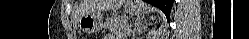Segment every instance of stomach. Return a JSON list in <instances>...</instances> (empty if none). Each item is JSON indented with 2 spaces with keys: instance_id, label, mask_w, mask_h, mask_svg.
<instances>
[{
  "instance_id": "0dacf381",
  "label": "stomach",
  "mask_w": 249,
  "mask_h": 39,
  "mask_svg": "<svg viewBox=\"0 0 249 39\" xmlns=\"http://www.w3.org/2000/svg\"><path fill=\"white\" fill-rule=\"evenodd\" d=\"M125 7L130 14H139L144 9L139 0H127ZM78 25L83 32L88 34L100 31L103 27L101 11L96 10L84 14L79 18Z\"/></svg>"
}]
</instances>
